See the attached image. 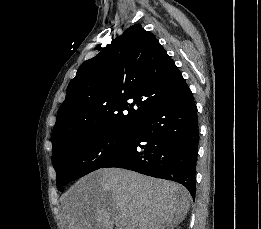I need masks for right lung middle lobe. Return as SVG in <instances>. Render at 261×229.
<instances>
[{
	"label": "right lung middle lobe",
	"instance_id": "1",
	"mask_svg": "<svg viewBox=\"0 0 261 229\" xmlns=\"http://www.w3.org/2000/svg\"><path fill=\"white\" fill-rule=\"evenodd\" d=\"M134 132L117 133L110 130H88L68 138L52 154L57 174V188L101 168L131 144Z\"/></svg>",
	"mask_w": 261,
	"mask_h": 229
}]
</instances>
